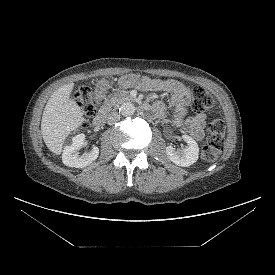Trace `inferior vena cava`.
Returning <instances> with one entry per match:
<instances>
[{"label":"inferior vena cava","instance_id":"602c4592","mask_svg":"<svg viewBox=\"0 0 275 275\" xmlns=\"http://www.w3.org/2000/svg\"><path fill=\"white\" fill-rule=\"evenodd\" d=\"M120 120V114L117 111H112L107 116V123L112 125Z\"/></svg>","mask_w":275,"mask_h":275}]
</instances>
